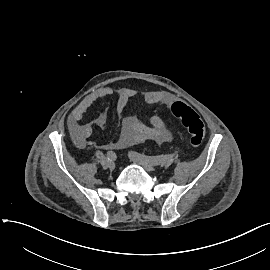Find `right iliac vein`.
Masks as SVG:
<instances>
[{"instance_id": "1", "label": "right iliac vein", "mask_w": 270, "mask_h": 270, "mask_svg": "<svg viewBox=\"0 0 270 270\" xmlns=\"http://www.w3.org/2000/svg\"><path fill=\"white\" fill-rule=\"evenodd\" d=\"M115 166H116V164H115V162L114 161H109L108 162V167H109V169H114L115 168Z\"/></svg>"}]
</instances>
